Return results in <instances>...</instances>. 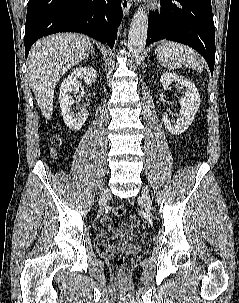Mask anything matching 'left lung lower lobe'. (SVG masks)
I'll use <instances>...</instances> for the list:
<instances>
[{"label": "left lung lower lobe", "instance_id": "left-lung-lower-lobe-1", "mask_svg": "<svg viewBox=\"0 0 239 303\" xmlns=\"http://www.w3.org/2000/svg\"><path fill=\"white\" fill-rule=\"evenodd\" d=\"M161 11L149 14L146 46L166 39L186 44L215 63V30L211 0H161Z\"/></svg>", "mask_w": 239, "mask_h": 303}]
</instances>
